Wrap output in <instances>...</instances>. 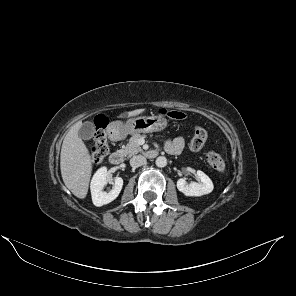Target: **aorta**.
Listing matches in <instances>:
<instances>
[{
  "instance_id": "1",
  "label": "aorta",
  "mask_w": 296,
  "mask_h": 296,
  "mask_svg": "<svg viewBox=\"0 0 296 296\" xmlns=\"http://www.w3.org/2000/svg\"><path fill=\"white\" fill-rule=\"evenodd\" d=\"M156 166L162 168L167 165V159L164 156H159L155 161Z\"/></svg>"
}]
</instances>
